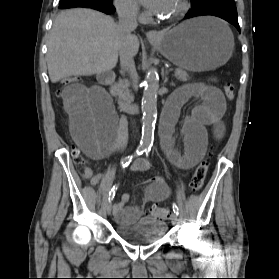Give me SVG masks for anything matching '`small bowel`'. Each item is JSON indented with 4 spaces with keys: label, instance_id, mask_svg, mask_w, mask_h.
Wrapping results in <instances>:
<instances>
[{
    "label": "small bowel",
    "instance_id": "1",
    "mask_svg": "<svg viewBox=\"0 0 279 279\" xmlns=\"http://www.w3.org/2000/svg\"><path fill=\"white\" fill-rule=\"evenodd\" d=\"M192 96L201 97L202 103L193 108L185 119L183 137L185 151L179 154L172 148V131L184 102ZM64 110L68 115L71 135L76 144L94 160L109 157L119 146L121 120L116 114L109 96L99 86L86 87L76 83L65 87L61 92ZM226 109L222 92L212 86L191 84L177 90L167 102L161 119V137L167 155L183 169L192 168L204 155L208 144L207 126L213 127L215 139H222L225 126L223 115ZM151 164L146 159H137L131 169L144 172ZM81 177L96 185L99 176L91 167L81 172ZM147 188L143 203L163 201L170 196V188L162 177L145 181ZM128 195L120 196L114 206L115 219L122 224H132L142 215L138 206L127 205Z\"/></svg>",
    "mask_w": 279,
    "mask_h": 279
}]
</instances>
